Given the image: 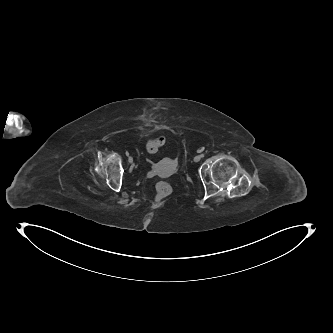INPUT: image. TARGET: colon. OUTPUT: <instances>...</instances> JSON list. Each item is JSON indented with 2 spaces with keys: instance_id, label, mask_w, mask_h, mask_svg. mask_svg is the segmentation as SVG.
I'll return each mask as SVG.
<instances>
[{
  "instance_id": "1",
  "label": "colon",
  "mask_w": 333,
  "mask_h": 333,
  "mask_svg": "<svg viewBox=\"0 0 333 333\" xmlns=\"http://www.w3.org/2000/svg\"><path fill=\"white\" fill-rule=\"evenodd\" d=\"M166 143V137L159 135L151 138L146 145L149 154H154L158 149ZM172 194V187L166 182H158L156 185L155 202L161 204L166 198Z\"/></svg>"
}]
</instances>
